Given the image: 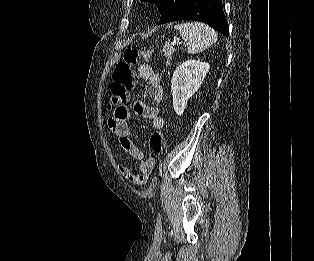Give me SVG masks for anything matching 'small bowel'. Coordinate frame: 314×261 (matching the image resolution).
<instances>
[{
    "label": "small bowel",
    "instance_id": "c3829d8e",
    "mask_svg": "<svg viewBox=\"0 0 314 261\" xmlns=\"http://www.w3.org/2000/svg\"><path fill=\"white\" fill-rule=\"evenodd\" d=\"M140 78L148 81V94L153 105L144 101H137L134 104V111L138 116L149 119L154 130H162L164 119L159 115L156 105L164 99L162 77L155 72L148 64H141L138 67ZM112 113L108 118V127L111 133L117 138L120 148L139 162L137 172H134L126 165L119 164L118 169L125 179L138 187L146 184L155 168V160L146 156L139 146L132 140L128 120L131 117L130 109L126 104L112 106Z\"/></svg>",
    "mask_w": 314,
    "mask_h": 261
}]
</instances>
